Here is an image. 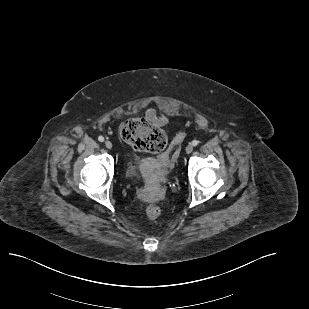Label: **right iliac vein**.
I'll use <instances>...</instances> for the list:
<instances>
[{"label":"right iliac vein","mask_w":309,"mask_h":309,"mask_svg":"<svg viewBox=\"0 0 309 309\" xmlns=\"http://www.w3.org/2000/svg\"><path fill=\"white\" fill-rule=\"evenodd\" d=\"M105 146H106V148L111 149L112 148V143L107 140V141H105Z\"/></svg>","instance_id":"right-iliac-vein-1"}]
</instances>
